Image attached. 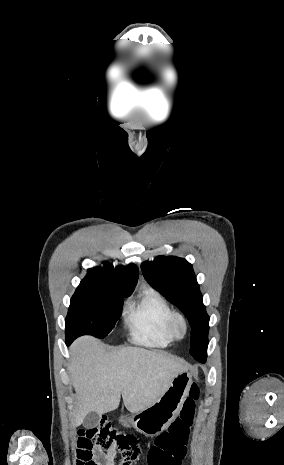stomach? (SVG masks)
I'll use <instances>...</instances> for the list:
<instances>
[{"mask_svg":"<svg viewBox=\"0 0 284 465\" xmlns=\"http://www.w3.org/2000/svg\"><path fill=\"white\" fill-rule=\"evenodd\" d=\"M192 383V375L183 371L172 379L165 393L139 413H131L120 417L119 423L123 427H133L138 433H143L145 437H157L166 431L170 423L179 415L182 405L187 399Z\"/></svg>","mask_w":284,"mask_h":465,"instance_id":"stomach-1","label":"stomach"}]
</instances>
